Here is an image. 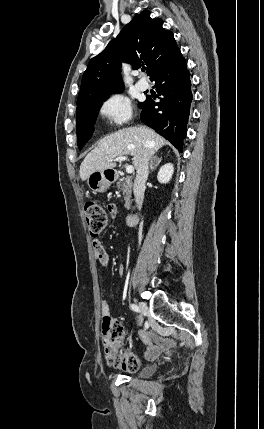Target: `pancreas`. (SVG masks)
Wrapping results in <instances>:
<instances>
[{
    "label": "pancreas",
    "instance_id": "obj_1",
    "mask_svg": "<svg viewBox=\"0 0 264 429\" xmlns=\"http://www.w3.org/2000/svg\"><path fill=\"white\" fill-rule=\"evenodd\" d=\"M117 188L118 190H121L124 195L125 200V208L129 209L131 204V189H132V182L130 178H121L117 182Z\"/></svg>",
    "mask_w": 264,
    "mask_h": 429
}]
</instances>
